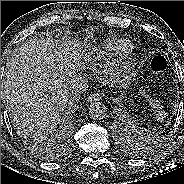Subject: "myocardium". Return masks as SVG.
I'll use <instances>...</instances> for the list:
<instances>
[{"instance_id":"myocardium-1","label":"myocardium","mask_w":184,"mask_h":184,"mask_svg":"<svg viewBox=\"0 0 184 184\" xmlns=\"http://www.w3.org/2000/svg\"><path fill=\"white\" fill-rule=\"evenodd\" d=\"M118 74H119V75L124 74V69H123V70H120V71L118 72Z\"/></svg>"}]
</instances>
